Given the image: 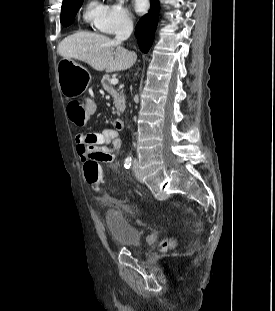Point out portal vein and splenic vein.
<instances>
[{
	"mask_svg": "<svg viewBox=\"0 0 275 311\" xmlns=\"http://www.w3.org/2000/svg\"><path fill=\"white\" fill-rule=\"evenodd\" d=\"M111 84L112 85L118 84V79H116V78L111 79Z\"/></svg>",
	"mask_w": 275,
	"mask_h": 311,
	"instance_id": "18ae733b",
	"label": "portal vein and splenic vein"
}]
</instances>
